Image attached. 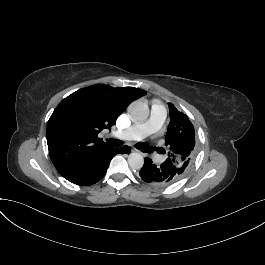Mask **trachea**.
Instances as JSON below:
<instances>
[{
  "label": "trachea",
  "instance_id": "trachea-1",
  "mask_svg": "<svg viewBox=\"0 0 265 265\" xmlns=\"http://www.w3.org/2000/svg\"><path fill=\"white\" fill-rule=\"evenodd\" d=\"M107 143L112 147H121L123 145V142L117 139H107ZM135 147L143 152H150L153 150L152 147L146 145V144H136Z\"/></svg>",
  "mask_w": 265,
  "mask_h": 265
}]
</instances>
